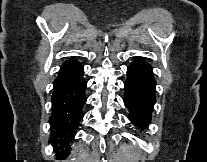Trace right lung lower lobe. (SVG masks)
<instances>
[{"instance_id": "1", "label": "right lung lower lobe", "mask_w": 207, "mask_h": 162, "mask_svg": "<svg viewBox=\"0 0 207 162\" xmlns=\"http://www.w3.org/2000/svg\"><path fill=\"white\" fill-rule=\"evenodd\" d=\"M83 71V66L71 59L63 63L53 83L51 141L56 145V150H60L58 157L61 159L68 155L66 146L73 140L76 128L83 118L82 108L86 103L87 85Z\"/></svg>"}]
</instances>
